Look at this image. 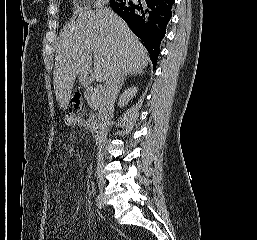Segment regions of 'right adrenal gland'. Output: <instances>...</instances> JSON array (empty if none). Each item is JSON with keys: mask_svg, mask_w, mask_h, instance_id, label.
Here are the masks:
<instances>
[{"mask_svg": "<svg viewBox=\"0 0 257 240\" xmlns=\"http://www.w3.org/2000/svg\"><path fill=\"white\" fill-rule=\"evenodd\" d=\"M141 73V72H140ZM135 76L136 75V73H131V74H124L123 76H122V78H121V82H120V86H119V92H120V90H121V88H122V85L124 84V82L126 81V79L128 78V77H131V76Z\"/></svg>", "mask_w": 257, "mask_h": 240, "instance_id": "1", "label": "right adrenal gland"}]
</instances>
